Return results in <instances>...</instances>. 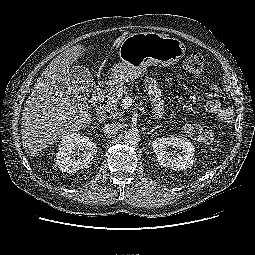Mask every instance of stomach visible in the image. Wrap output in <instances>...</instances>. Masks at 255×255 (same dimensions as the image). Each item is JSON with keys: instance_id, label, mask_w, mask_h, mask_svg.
Wrapping results in <instances>:
<instances>
[{"instance_id": "obj_1", "label": "stomach", "mask_w": 255, "mask_h": 255, "mask_svg": "<svg viewBox=\"0 0 255 255\" xmlns=\"http://www.w3.org/2000/svg\"><path fill=\"white\" fill-rule=\"evenodd\" d=\"M185 51L184 43L167 35L155 32L131 34L120 45L121 62L112 68L109 84L117 88L139 78L150 66H172L185 55Z\"/></svg>"}]
</instances>
